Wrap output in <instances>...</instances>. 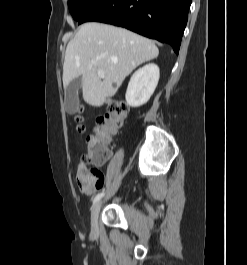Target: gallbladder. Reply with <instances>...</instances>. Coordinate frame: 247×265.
Returning <instances> with one entry per match:
<instances>
[{"label": "gallbladder", "instance_id": "bac80fb5", "mask_svg": "<svg viewBox=\"0 0 247 265\" xmlns=\"http://www.w3.org/2000/svg\"><path fill=\"white\" fill-rule=\"evenodd\" d=\"M82 86V78L73 79L65 89V108L67 113L74 114L78 106V91Z\"/></svg>", "mask_w": 247, "mask_h": 265}]
</instances>
